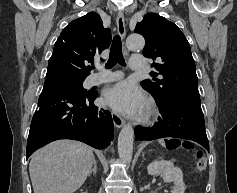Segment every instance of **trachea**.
I'll use <instances>...</instances> for the list:
<instances>
[{"mask_svg": "<svg viewBox=\"0 0 237 193\" xmlns=\"http://www.w3.org/2000/svg\"><path fill=\"white\" fill-rule=\"evenodd\" d=\"M119 63L120 65H125V60L122 55V44H121V38L119 35H116L113 38V42L110 49V56L109 60L106 63V68L110 69L115 64Z\"/></svg>", "mask_w": 237, "mask_h": 193, "instance_id": "trachea-1", "label": "trachea"}]
</instances>
